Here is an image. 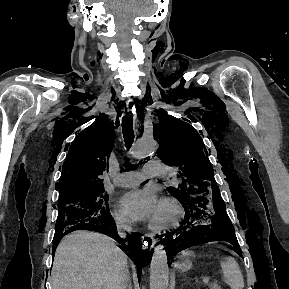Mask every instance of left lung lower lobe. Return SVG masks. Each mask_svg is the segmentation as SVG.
<instances>
[{"instance_id": "1", "label": "left lung lower lobe", "mask_w": 289, "mask_h": 289, "mask_svg": "<svg viewBox=\"0 0 289 289\" xmlns=\"http://www.w3.org/2000/svg\"><path fill=\"white\" fill-rule=\"evenodd\" d=\"M183 207L186 213L181 226L166 234L163 239V243L166 244L168 260L174 254L193 246L192 240L202 236L227 240L241 255L234 227L225 211L223 200L215 199L211 204H208L201 198H195ZM209 218H212L211 223L207 222Z\"/></svg>"}]
</instances>
